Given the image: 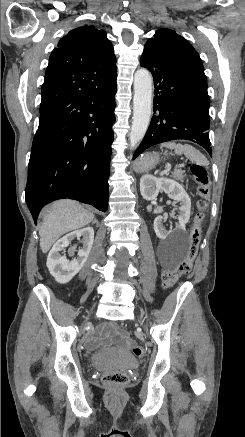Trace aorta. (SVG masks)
Here are the masks:
<instances>
[{
    "instance_id": "aorta-1",
    "label": "aorta",
    "mask_w": 245,
    "mask_h": 437,
    "mask_svg": "<svg viewBox=\"0 0 245 437\" xmlns=\"http://www.w3.org/2000/svg\"><path fill=\"white\" fill-rule=\"evenodd\" d=\"M152 107V76L141 68L134 75L133 122L129 136L130 146L139 143L149 126Z\"/></svg>"
}]
</instances>
